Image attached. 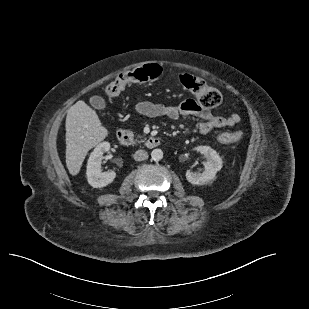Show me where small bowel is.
<instances>
[{"mask_svg":"<svg viewBox=\"0 0 309 309\" xmlns=\"http://www.w3.org/2000/svg\"><path fill=\"white\" fill-rule=\"evenodd\" d=\"M136 112L147 117H167L172 120L180 116H195L202 120L199 131L208 134L214 129L233 127L240 122V116L231 112L228 116H218L201 107L194 99H187L179 105H163L151 101H141L136 105Z\"/></svg>","mask_w":309,"mask_h":309,"instance_id":"c3829d8e","label":"small bowel"}]
</instances>
